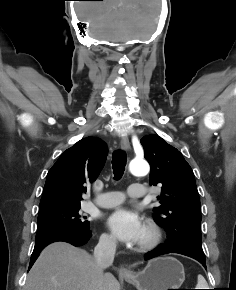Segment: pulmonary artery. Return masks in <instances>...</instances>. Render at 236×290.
Wrapping results in <instances>:
<instances>
[{
	"label": "pulmonary artery",
	"mask_w": 236,
	"mask_h": 290,
	"mask_svg": "<svg viewBox=\"0 0 236 290\" xmlns=\"http://www.w3.org/2000/svg\"><path fill=\"white\" fill-rule=\"evenodd\" d=\"M128 196L135 199L144 198L146 195L145 189L137 184L130 185L127 188ZM125 199V196L121 192L111 191L106 192L94 199V203L102 208H111L121 204Z\"/></svg>",
	"instance_id": "pulmonary-artery-1"
}]
</instances>
